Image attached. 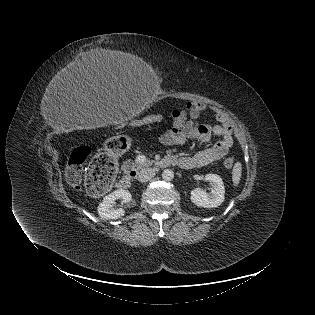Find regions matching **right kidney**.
<instances>
[{
  "label": "right kidney",
  "instance_id": "obj_1",
  "mask_svg": "<svg viewBox=\"0 0 315 315\" xmlns=\"http://www.w3.org/2000/svg\"><path fill=\"white\" fill-rule=\"evenodd\" d=\"M117 199H121L122 203H128L131 201L132 195L127 190L118 189L105 196L98 206V214L102 219L111 220L124 216L125 211L123 208H113V204Z\"/></svg>",
  "mask_w": 315,
  "mask_h": 315
}]
</instances>
